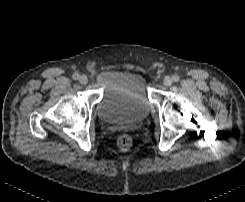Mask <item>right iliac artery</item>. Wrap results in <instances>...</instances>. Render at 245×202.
<instances>
[{
	"instance_id": "82829eb1",
	"label": "right iliac artery",
	"mask_w": 245,
	"mask_h": 202,
	"mask_svg": "<svg viewBox=\"0 0 245 202\" xmlns=\"http://www.w3.org/2000/svg\"><path fill=\"white\" fill-rule=\"evenodd\" d=\"M79 77H80V76H79L78 73H74L73 76H72V78H73L74 80H78Z\"/></svg>"
}]
</instances>
